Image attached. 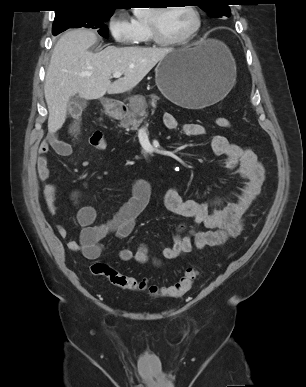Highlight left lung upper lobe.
<instances>
[{"label":"left lung upper lobe","instance_id":"5c2ea615","mask_svg":"<svg viewBox=\"0 0 306 387\" xmlns=\"http://www.w3.org/2000/svg\"><path fill=\"white\" fill-rule=\"evenodd\" d=\"M194 2L211 17H229L231 14L228 0H194Z\"/></svg>","mask_w":306,"mask_h":387}]
</instances>
